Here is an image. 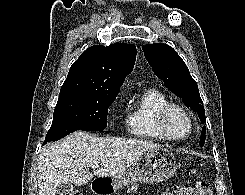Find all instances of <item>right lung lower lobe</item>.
I'll list each match as a JSON object with an SVG mask.
<instances>
[{"label": "right lung lower lobe", "mask_w": 245, "mask_h": 195, "mask_svg": "<svg viewBox=\"0 0 245 195\" xmlns=\"http://www.w3.org/2000/svg\"><path fill=\"white\" fill-rule=\"evenodd\" d=\"M103 130V128H90V129H86L84 131H100Z\"/></svg>", "instance_id": "obj_1"}]
</instances>
